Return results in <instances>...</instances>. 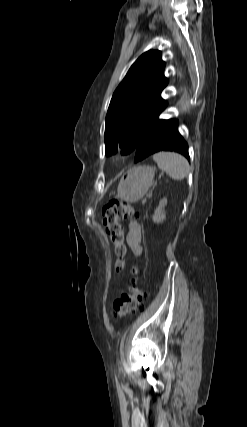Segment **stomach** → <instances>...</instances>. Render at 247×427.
Masks as SVG:
<instances>
[{"label":"stomach","mask_w":247,"mask_h":427,"mask_svg":"<svg viewBox=\"0 0 247 427\" xmlns=\"http://www.w3.org/2000/svg\"><path fill=\"white\" fill-rule=\"evenodd\" d=\"M155 170L150 166H136L127 170L121 177L117 197L126 202L141 200L149 190Z\"/></svg>","instance_id":"stomach-1"}]
</instances>
